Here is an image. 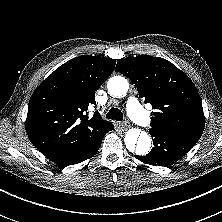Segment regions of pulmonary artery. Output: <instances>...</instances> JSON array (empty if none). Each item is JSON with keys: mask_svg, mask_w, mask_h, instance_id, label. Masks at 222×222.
Wrapping results in <instances>:
<instances>
[{"mask_svg": "<svg viewBox=\"0 0 222 222\" xmlns=\"http://www.w3.org/2000/svg\"><path fill=\"white\" fill-rule=\"evenodd\" d=\"M127 109L131 118L139 125L147 127L149 124V118L145 110L138 104L134 98H128Z\"/></svg>", "mask_w": 222, "mask_h": 222, "instance_id": "obj_1", "label": "pulmonary artery"}]
</instances>
